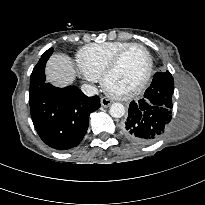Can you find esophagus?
Segmentation results:
<instances>
[{
  "mask_svg": "<svg viewBox=\"0 0 205 205\" xmlns=\"http://www.w3.org/2000/svg\"><path fill=\"white\" fill-rule=\"evenodd\" d=\"M111 104V101L105 97H101V105L103 107H108Z\"/></svg>",
  "mask_w": 205,
  "mask_h": 205,
  "instance_id": "esophagus-1",
  "label": "esophagus"
}]
</instances>
